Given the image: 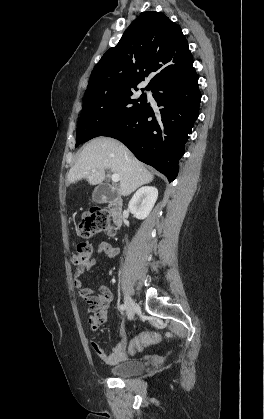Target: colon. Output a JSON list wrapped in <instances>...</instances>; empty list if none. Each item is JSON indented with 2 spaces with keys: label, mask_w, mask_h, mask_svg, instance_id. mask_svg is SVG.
<instances>
[{
  "label": "colon",
  "mask_w": 264,
  "mask_h": 419,
  "mask_svg": "<svg viewBox=\"0 0 264 419\" xmlns=\"http://www.w3.org/2000/svg\"><path fill=\"white\" fill-rule=\"evenodd\" d=\"M78 232L82 237H90L100 232H108L113 235L109 214L106 210L95 208L86 212L79 224ZM73 263L78 266H89L93 260L92 246L86 241H80L76 244L72 255ZM89 303L94 306L91 301ZM154 333H142L136 336L131 342V349L135 352L141 351L155 341Z\"/></svg>",
  "instance_id": "colon-1"
}]
</instances>
